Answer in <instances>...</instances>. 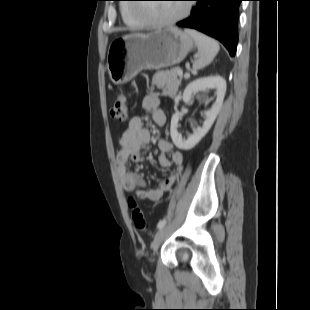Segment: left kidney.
<instances>
[{
	"instance_id": "obj_1",
	"label": "left kidney",
	"mask_w": 310,
	"mask_h": 310,
	"mask_svg": "<svg viewBox=\"0 0 310 310\" xmlns=\"http://www.w3.org/2000/svg\"><path fill=\"white\" fill-rule=\"evenodd\" d=\"M210 89L216 90V101L211 109L205 112L206 119L203 122V126L194 128L193 134L189 135L187 139L182 138V135L177 131L178 121L181 118V115L175 113L172 116L170 134L172 141L177 148L182 150L193 148L209 131L221 109L226 93V81L220 76L204 77L191 82L184 90L183 101L185 103H188L191 100L192 95L195 92H202L203 95L200 97V100L207 103L209 102V99L206 97L205 93Z\"/></svg>"
}]
</instances>
